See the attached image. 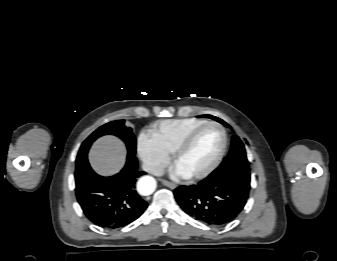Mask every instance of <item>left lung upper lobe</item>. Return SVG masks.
<instances>
[{
  "mask_svg": "<svg viewBox=\"0 0 337 261\" xmlns=\"http://www.w3.org/2000/svg\"><path fill=\"white\" fill-rule=\"evenodd\" d=\"M224 125L228 126L223 120L209 116ZM209 177H222L232 181L249 193L250 190V167L246 156L243 142L237 135H233L231 150L221 165L213 171Z\"/></svg>",
  "mask_w": 337,
  "mask_h": 261,
  "instance_id": "left-lung-upper-lobe-1",
  "label": "left lung upper lobe"
}]
</instances>
